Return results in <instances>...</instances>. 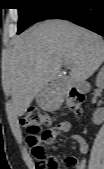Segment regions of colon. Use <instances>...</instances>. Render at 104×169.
<instances>
[{"mask_svg":"<svg viewBox=\"0 0 104 169\" xmlns=\"http://www.w3.org/2000/svg\"><path fill=\"white\" fill-rule=\"evenodd\" d=\"M83 101V94L76 89H71L67 94V107L78 112ZM52 118L44 115L38 109L28 110L20 119V125L25 130V142L31 150V154L35 159L36 169H59V161L57 157L50 153L42 144L45 137H53L55 131L48 129L41 134V128L45 124H50ZM76 160L68 159L70 165L75 164Z\"/></svg>","mask_w":104,"mask_h":169,"instance_id":"colon-1","label":"colon"}]
</instances>
